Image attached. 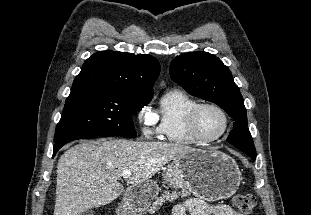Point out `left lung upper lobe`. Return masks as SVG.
Returning a JSON list of instances; mask_svg holds the SVG:
<instances>
[{"mask_svg": "<svg viewBox=\"0 0 311 215\" xmlns=\"http://www.w3.org/2000/svg\"><path fill=\"white\" fill-rule=\"evenodd\" d=\"M170 76L191 95L223 108L235 121L227 141L251 158L256 157L242 95L231 71L219 58L201 51L182 54L171 62Z\"/></svg>", "mask_w": 311, "mask_h": 215, "instance_id": "5c2ea615", "label": "left lung upper lobe"}]
</instances>
